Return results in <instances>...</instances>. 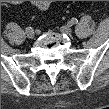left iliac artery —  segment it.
Segmentation results:
<instances>
[{
    "mask_svg": "<svg viewBox=\"0 0 109 109\" xmlns=\"http://www.w3.org/2000/svg\"><path fill=\"white\" fill-rule=\"evenodd\" d=\"M69 23H70L71 25H75V24L78 23V20H77L76 18H72V19L69 21Z\"/></svg>",
    "mask_w": 109,
    "mask_h": 109,
    "instance_id": "left-iliac-artery-1",
    "label": "left iliac artery"
}]
</instances>
